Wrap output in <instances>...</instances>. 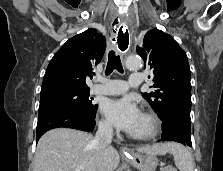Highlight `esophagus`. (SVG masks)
Returning a JSON list of instances; mask_svg holds the SVG:
<instances>
[{
    "instance_id": "esophagus-1",
    "label": "esophagus",
    "mask_w": 223,
    "mask_h": 171,
    "mask_svg": "<svg viewBox=\"0 0 223 171\" xmlns=\"http://www.w3.org/2000/svg\"><path fill=\"white\" fill-rule=\"evenodd\" d=\"M121 26H118V30L116 31L118 45L119 48L124 51L127 50L128 44L130 43V39H132V34L130 31V26L128 21H121ZM121 151L123 153L131 152V150L127 147H122Z\"/></svg>"
}]
</instances>
